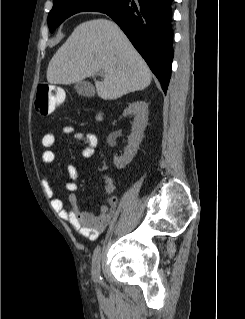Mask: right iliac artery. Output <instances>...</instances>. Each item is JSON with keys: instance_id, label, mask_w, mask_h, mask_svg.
<instances>
[{"instance_id": "82829eb1", "label": "right iliac artery", "mask_w": 245, "mask_h": 319, "mask_svg": "<svg viewBox=\"0 0 245 319\" xmlns=\"http://www.w3.org/2000/svg\"><path fill=\"white\" fill-rule=\"evenodd\" d=\"M100 247L97 246L94 250L93 253V259H92V272H93V279L96 282L101 281V276H100Z\"/></svg>"}]
</instances>
